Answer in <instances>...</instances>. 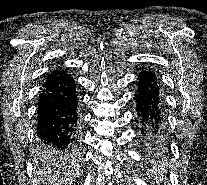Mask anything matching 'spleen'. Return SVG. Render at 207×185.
I'll return each mask as SVG.
<instances>
[{"label": "spleen", "instance_id": "3e777b00", "mask_svg": "<svg viewBox=\"0 0 207 185\" xmlns=\"http://www.w3.org/2000/svg\"><path fill=\"white\" fill-rule=\"evenodd\" d=\"M158 179H163V174H158Z\"/></svg>", "mask_w": 207, "mask_h": 185}]
</instances>
